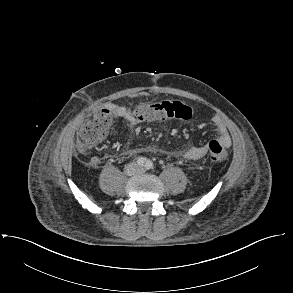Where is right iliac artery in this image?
<instances>
[{"mask_svg": "<svg viewBox=\"0 0 293 293\" xmlns=\"http://www.w3.org/2000/svg\"><path fill=\"white\" fill-rule=\"evenodd\" d=\"M145 163H146V159L143 158V157H139L136 160V164L139 165V166H143V165H145Z\"/></svg>", "mask_w": 293, "mask_h": 293, "instance_id": "1", "label": "right iliac artery"}]
</instances>
